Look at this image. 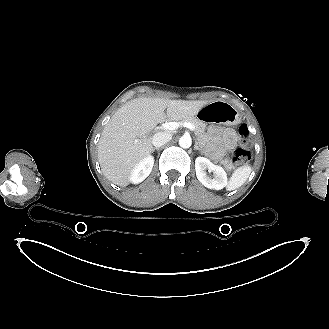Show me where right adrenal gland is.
Masks as SVG:
<instances>
[{
    "label": "right adrenal gland",
    "mask_w": 329,
    "mask_h": 329,
    "mask_svg": "<svg viewBox=\"0 0 329 329\" xmlns=\"http://www.w3.org/2000/svg\"><path fill=\"white\" fill-rule=\"evenodd\" d=\"M155 150H159V148L158 147H153L152 149H151V152H154Z\"/></svg>",
    "instance_id": "obj_1"
}]
</instances>
